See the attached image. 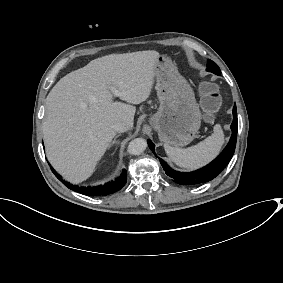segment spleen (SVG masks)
<instances>
[{
    "instance_id": "obj_1",
    "label": "spleen",
    "mask_w": 283,
    "mask_h": 283,
    "mask_svg": "<svg viewBox=\"0 0 283 283\" xmlns=\"http://www.w3.org/2000/svg\"><path fill=\"white\" fill-rule=\"evenodd\" d=\"M223 143V133L219 125L214 126V132L199 143L180 148L165 144L164 148L176 164L185 168H195L207 163L220 150Z\"/></svg>"
}]
</instances>
